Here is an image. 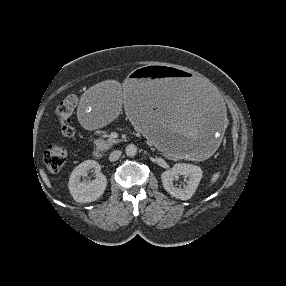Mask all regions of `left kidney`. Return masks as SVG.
<instances>
[{
  "instance_id": "obj_1",
  "label": "left kidney",
  "mask_w": 286,
  "mask_h": 286,
  "mask_svg": "<svg viewBox=\"0 0 286 286\" xmlns=\"http://www.w3.org/2000/svg\"><path fill=\"white\" fill-rule=\"evenodd\" d=\"M188 177L187 185L178 188L173 181L179 176ZM202 178V170L199 166L177 163L171 169L161 174V180L164 189L172 196L181 200L190 199L195 193L200 180Z\"/></svg>"
}]
</instances>
